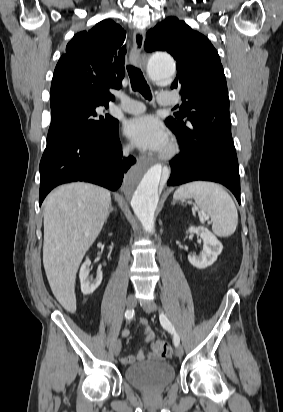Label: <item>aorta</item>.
I'll return each mask as SVG.
<instances>
[{
  "label": "aorta",
  "mask_w": 283,
  "mask_h": 412,
  "mask_svg": "<svg viewBox=\"0 0 283 412\" xmlns=\"http://www.w3.org/2000/svg\"><path fill=\"white\" fill-rule=\"evenodd\" d=\"M145 67L149 79L158 84L170 83L176 73L174 60L163 52L150 55ZM162 173V166L155 164L147 168L132 169L124 180V192L131 197L133 211L148 233L154 231V214Z\"/></svg>",
  "instance_id": "aorta-1"
}]
</instances>
